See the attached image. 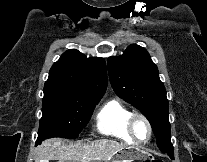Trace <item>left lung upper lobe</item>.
Listing matches in <instances>:
<instances>
[{"label":"left lung upper lobe","instance_id":"5c2ea615","mask_svg":"<svg viewBox=\"0 0 207 162\" xmlns=\"http://www.w3.org/2000/svg\"><path fill=\"white\" fill-rule=\"evenodd\" d=\"M108 72L116 94L149 120L158 148L173 150L166 90L148 52L132 44L121 56L108 58Z\"/></svg>","mask_w":207,"mask_h":162}]
</instances>
